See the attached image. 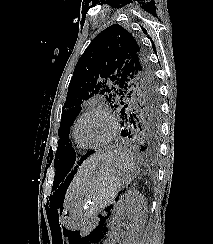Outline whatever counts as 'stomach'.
Masks as SVG:
<instances>
[{"mask_svg": "<svg viewBox=\"0 0 213 244\" xmlns=\"http://www.w3.org/2000/svg\"><path fill=\"white\" fill-rule=\"evenodd\" d=\"M123 153V149H104L107 156L98 162L62 212L61 222L65 228L82 229L97 217L98 211L115 200L130 176L121 158Z\"/></svg>", "mask_w": 213, "mask_h": 244, "instance_id": "1", "label": "stomach"}]
</instances>
